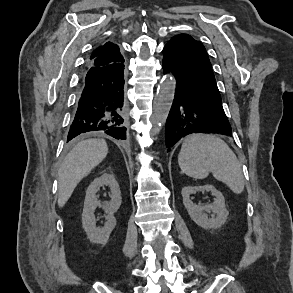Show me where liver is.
Here are the masks:
<instances>
[{
  "label": "liver",
  "mask_w": 293,
  "mask_h": 293,
  "mask_svg": "<svg viewBox=\"0 0 293 293\" xmlns=\"http://www.w3.org/2000/svg\"><path fill=\"white\" fill-rule=\"evenodd\" d=\"M104 139H87L78 143L65 157L58 171V205L63 207L78 183L107 156Z\"/></svg>",
  "instance_id": "obj_1"
}]
</instances>
